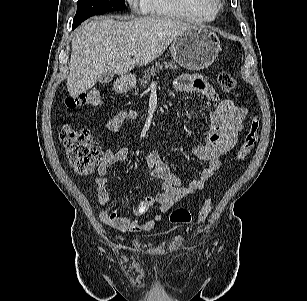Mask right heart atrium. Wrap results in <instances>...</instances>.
<instances>
[{
  "label": "right heart atrium",
  "instance_id": "d8ad5b80",
  "mask_svg": "<svg viewBox=\"0 0 307 301\" xmlns=\"http://www.w3.org/2000/svg\"><path fill=\"white\" fill-rule=\"evenodd\" d=\"M133 9L146 10L147 0H127Z\"/></svg>",
  "mask_w": 307,
  "mask_h": 301
}]
</instances>
